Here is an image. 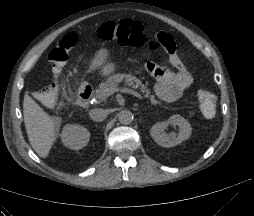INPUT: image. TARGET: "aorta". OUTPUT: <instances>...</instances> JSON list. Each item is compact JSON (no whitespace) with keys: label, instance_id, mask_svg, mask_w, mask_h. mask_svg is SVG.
<instances>
[{"label":"aorta","instance_id":"obj_1","mask_svg":"<svg viewBox=\"0 0 254 216\" xmlns=\"http://www.w3.org/2000/svg\"><path fill=\"white\" fill-rule=\"evenodd\" d=\"M134 119L133 113L129 110H122L118 113V120L122 124H130Z\"/></svg>","mask_w":254,"mask_h":216}]
</instances>
